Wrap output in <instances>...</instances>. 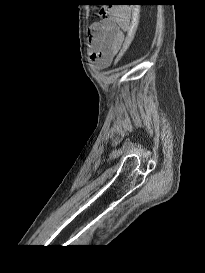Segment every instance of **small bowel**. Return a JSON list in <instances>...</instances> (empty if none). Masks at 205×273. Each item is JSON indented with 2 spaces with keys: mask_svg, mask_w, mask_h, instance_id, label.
<instances>
[{
  "mask_svg": "<svg viewBox=\"0 0 205 273\" xmlns=\"http://www.w3.org/2000/svg\"><path fill=\"white\" fill-rule=\"evenodd\" d=\"M132 21L130 13L117 6H107L101 19L89 27V51L93 63L102 69L108 67L126 41Z\"/></svg>",
  "mask_w": 205,
  "mask_h": 273,
  "instance_id": "obj_1",
  "label": "small bowel"
}]
</instances>
